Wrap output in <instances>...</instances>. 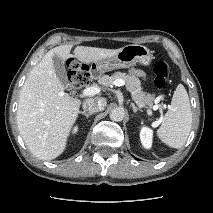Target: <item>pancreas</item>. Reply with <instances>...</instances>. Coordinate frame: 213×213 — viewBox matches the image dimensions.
<instances>
[{"instance_id": "cf45deb5", "label": "pancreas", "mask_w": 213, "mask_h": 213, "mask_svg": "<svg viewBox=\"0 0 213 213\" xmlns=\"http://www.w3.org/2000/svg\"><path fill=\"white\" fill-rule=\"evenodd\" d=\"M116 79H123L131 93L132 99L141 107L151 108L155 102V95L143 91L141 81L131 74L115 72L112 76L103 75L98 82L104 87H111Z\"/></svg>"}]
</instances>
